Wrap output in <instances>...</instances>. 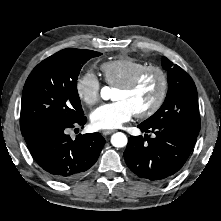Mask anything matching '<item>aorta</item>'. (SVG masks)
<instances>
[{
    "label": "aorta",
    "mask_w": 221,
    "mask_h": 221,
    "mask_svg": "<svg viewBox=\"0 0 221 221\" xmlns=\"http://www.w3.org/2000/svg\"><path fill=\"white\" fill-rule=\"evenodd\" d=\"M101 97L104 100H108L111 96V89L107 86L103 87L101 89ZM127 137L122 132H117L112 135L111 137V143L114 147L121 148L124 147L127 144Z\"/></svg>",
    "instance_id": "762f6f07"
}]
</instances>
